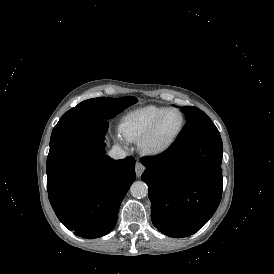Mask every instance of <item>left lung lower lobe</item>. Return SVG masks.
Here are the masks:
<instances>
[{"instance_id": "obj_1", "label": "left lung lower lobe", "mask_w": 274, "mask_h": 274, "mask_svg": "<svg viewBox=\"0 0 274 274\" xmlns=\"http://www.w3.org/2000/svg\"><path fill=\"white\" fill-rule=\"evenodd\" d=\"M221 137L173 144L143 158L151 219L163 234L181 238L197 232L215 213L222 196Z\"/></svg>"}]
</instances>
